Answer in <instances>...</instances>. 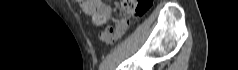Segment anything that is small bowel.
Returning a JSON list of instances; mask_svg holds the SVG:
<instances>
[{"label":"small bowel","instance_id":"1","mask_svg":"<svg viewBox=\"0 0 238 70\" xmlns=\"http://www.w3.org/2000/svg\"><path fill=\"white\" fill-rule=\"evenodd\" d=\"M95 4L98 5L100 12L105 16L106 20H109L112 16V8L108 3L96 0ZM128 20L120 19L116 22L114 28H108L99 34V38L107 43L111 44L118 40L128 28Z\"/></svg>","mask_w":238,"mask_h":70}]
</instances>
